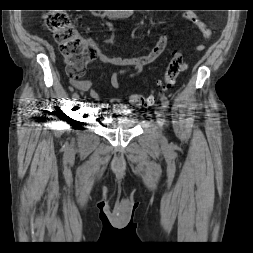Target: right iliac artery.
I'll return each mask as SVG.
<instances>
[{"label":"right iliac artery","mask_w":253,"mask_h":253,"mask_svg":"<svg viewBox=\"0 0 253 253\" xmlns=\"http://www.w3.org/2000/svg\"><path fill=\"white\" fill-rule=\"evenodd\" d=\"M78 102V94L74 93L71 95V108L70 111H73L75 104Z\"/></svg>","instance_id":"1"}]
</instances>
